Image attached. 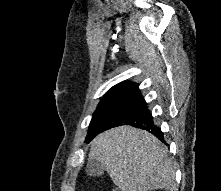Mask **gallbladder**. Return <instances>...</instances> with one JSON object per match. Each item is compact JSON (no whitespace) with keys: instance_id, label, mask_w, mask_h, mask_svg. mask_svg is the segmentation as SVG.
Segmentation results:
<instances>
[{"instance_id":"1","label":"gallbladder","mask_w":221,"mask_h":191,"mask_svg":"<svg viewBox=\"0 0 221 191\" xmlns=\"http://www.w3.org/2000/svg\"><path fill=\"white\" fill-rule=\"evenodd\" d=\"M105 171L104 165L97 160H90L87 163L86 173L92 177L101 176Z\"/></svg>"}]
</instances>
